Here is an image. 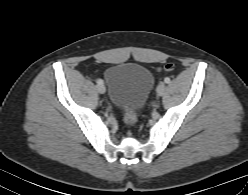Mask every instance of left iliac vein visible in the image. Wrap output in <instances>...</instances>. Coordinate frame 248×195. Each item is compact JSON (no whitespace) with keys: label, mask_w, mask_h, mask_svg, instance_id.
I'll return each mask as SVG.
<instances>
[{"label":"left iliac vein","mask_w":248,"mask_h":195,"mask_svg":"<svg viewBox=\"0 0 248 195\" xmlns=\"http://www.w3.org/2000/svg\"><path fill=\"white\" fill-rule=\"evenodd\" d=\"M165 85L163 83L159 84L158 87H157V94L159 96H162L165 92Z\"/></svg>","instance_id":"4c4485c4"}]
</instances>
